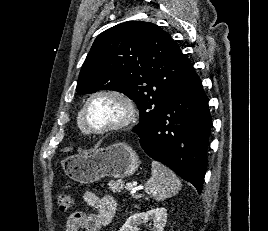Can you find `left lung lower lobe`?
<instances>
[{
    "label": "left lung lower lobe",
    "instance_id": "obj_1",
    "mask_svg": "<svg viewBox=\"0 0 268 231\" xmlns=\"http://www.w3.org/2000/svg\"><path fill=\"white\" fill-rule=\"evenodd\" d=\"M212 118L195 71L168 97L155 124L138 133L146 154L171 168L201 193Z\"/></svg>",
    "mask_w": 268,
    "mask_h": 231
}]
</instances>
